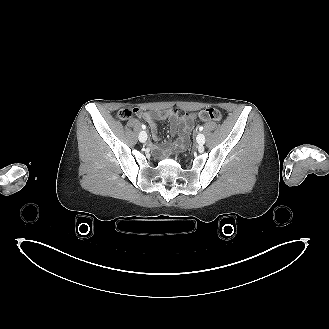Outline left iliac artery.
<instances>
[{
  "instance_id": "1",
  "label": "left iliac artery",
  "mask_w": 329,
  "mask_h": 329,
  "mask_svg": "<svg viewBox=\"0 0 329 329\" xmlns=\"http://www.w3.org/2000/svg\"><path fill=\"white\" fill-rule=\"evenodd\" d=\"M203 129H204L203 126L199 127V131H203Z\"/></svg>"
}]
</instances>
